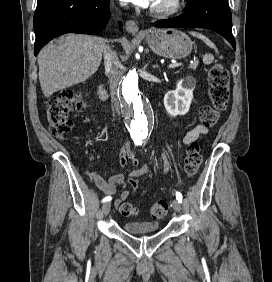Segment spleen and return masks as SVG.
Wrapping results in <instances>:
<instances>
[{"instance_id": "obj_1", "label": "spleen", "mask_w": 272, "mask_h": 282, "mask_svg": "<svg viewBox=\"0 0 272 282\" xmlns=\"http://www.w3.org/2000/svg\"><path fill=\"white\" fill-rule=\"evenodd\" d=\"M190 33L194 37L201 39L208 47L215 49V51L217 52V49H216L214 43L212 41H210L206 36H204V35H202L198 32H190Z\"/></svg>"}]
</instances>
